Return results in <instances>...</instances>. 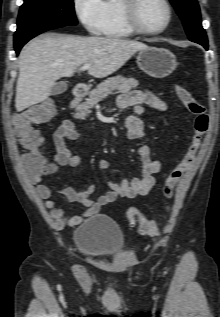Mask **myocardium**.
<instances>
[{
    "label": "myocardium",
    "mask_w": 220,
    "mask_h": 317,
    "mask_svg": "<svg viewBox=\"0 0 220 317\" xmlns=\"http://www.w3.org/2000/svg\"><path fill=\"white\" fill-rule=\"evenodd\" d=\"M167 10L165 24L158 29H147L143 27L139 20V8L143 0H122L121 12L128 27L140 35H158L163 33L171 24L173 18V8L169 0H161Z\"/></svg>",
    "instance_id": "f54148a6"
}]
</instances>
